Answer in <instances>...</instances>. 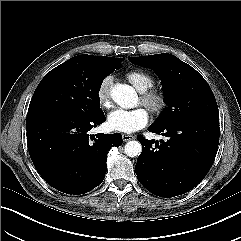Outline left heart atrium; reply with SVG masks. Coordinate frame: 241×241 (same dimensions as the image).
<instances>
[{"label":"left heart atrium","instance_id":"39dd6f15","mask_svg":"<svg viewBox=\"0 0 241 241\" xmlns=\"http://www.w3.org/2000/svg\"><path fill=\"white\" fill-rule=\"evenodd\" d=\"M149 121L148 112L144 108L132 110L116 109L107 118L108 127L117 132L133 133L144 128Z\"/></svg>","mask_w":241,"mask_h":241}]
</instances>
